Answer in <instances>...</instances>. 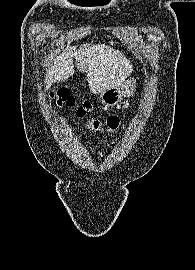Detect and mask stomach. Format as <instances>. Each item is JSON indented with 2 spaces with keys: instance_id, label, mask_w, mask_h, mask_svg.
<instances>
[{
  "instance_id": "obj_1",
  "label": "stomach",
  "mask_w": 195,
  "mask_h": 270,
  "mask_svg": "<svg viewBox=\"0 0 195 270\" xmlns=\"http://www.w3.org/2000/svg\"><path fill=\"white\" fill-rule=\"evenodd\" d=\"M133 93V85L128 82L120 87L110 88L100 94L101 101L107 106L117 105L123 98Z\"/></svg>"
}]
</instances>
